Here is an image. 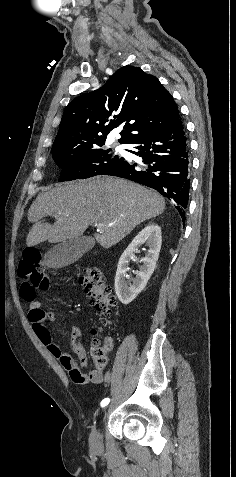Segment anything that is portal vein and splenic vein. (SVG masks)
Returning <instances> with one entry per match:
<instances>
[{"label": "portal vein and splenic vein", "instance_id": "obj_1", "mask_svg": "<svg viewBox=\"0 0 236 477\" xmlns=\"http://www.w3.org/2000/svg\"><path fill=\"white\" fill-rule=\"evenodd\" d=\"M95 226H97V228H98L97 230H100V228L103 227V224H95Z\"/></svg>", "mask_w": 236, "mask_h": 477}]
</instances>
